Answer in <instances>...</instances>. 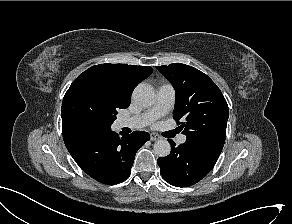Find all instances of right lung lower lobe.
<instances>
[{
	"instance_id": "1",
	"label": "right lung lower lobe",
	"mask_w": 292,
	"mask_h": 224,
	"mask_svg": "<svg viewBox=\"0 0 292 224\" xmlns=\"http://www.w3.org/2000/svg\"><path fill=\"white\" fill-rule=\"evenodd\" d=\"M63 139L79 167L103 184H118L131 173L137 150L150 139L147 132L118 134L79 127L63 128Z\"/></svg>"
}]
</instances>
